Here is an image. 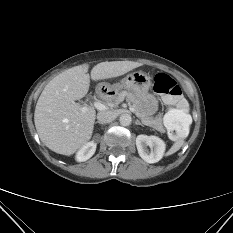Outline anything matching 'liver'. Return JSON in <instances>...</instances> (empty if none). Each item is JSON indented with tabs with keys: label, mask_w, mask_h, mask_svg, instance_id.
Segmentation results:
<instances>
[{
	"label": "liver",
	"mask_w": 233,
	"mask_h": 233,
	"mask_svg": "<svg viewBox=\"0 0 233 233\" xmlns=\"http://www.w3.org/2000/svg\"><path fill=\"white\" fill-rule=\"evenodd\" d=\"M142 64L133 61L101 62L88 74V64L72 67L53 78L42 91L34 122L42 143L52 151L72 155L92 136L96 111L75 103L83 98L93 81L121 76Z\"/></svg>",
	"instance_id": "liver-1"
}]
</instances>
